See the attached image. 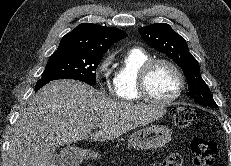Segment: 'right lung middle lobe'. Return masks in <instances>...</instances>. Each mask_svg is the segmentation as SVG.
I'll return each mask as SVG.
<instances>
[{"mask_svg":"<svg viewBox=\"0 0 231 166\" xmlns=\"http://www.w3.org/2000/svg\"><path fill=\"white\" fill-rule=\"evenodd\" d=\"M103 56L79 53L73 50H56L42 73L43 80L75 79L96 84V69Z\"/></svg>","mask_w":231,"mask_h":166,"instance_id":"obj_1","label":"right lung middle lobe"}]
</instances>
